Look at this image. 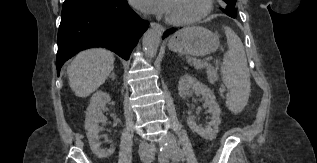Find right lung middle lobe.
I'll return each mask as SVG.
<instances>
[{"label": "right lung middle lobe", "instance_id": "1", "mask_svg": "<svg viewBox=\"0 0 317 163\" xmlns=\"http://www.w3.org/2000/svg\"><path fill=\"white\" fill-rule=\"evenodd\" d=\"M117 0H67L63 3L62 16L73 14L85 9L110 4Z\"/></svg>", "mask_w": 317, "mask_h": 163}]
</instances>
